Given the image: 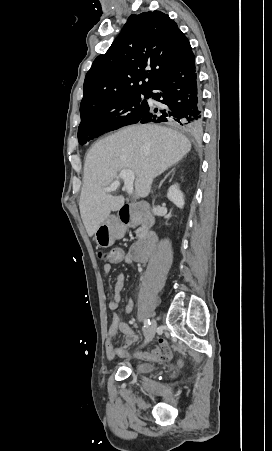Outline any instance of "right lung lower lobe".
<instances>
[{"label": "right lung lower lobe", "mask_w": 272, "mask_h": 451, "mask_svg": "<svg viewBox=\"0 0 272 451\" xmlns=\"http://www.w3.org/2000/svg\"><path fill=\"white\" fill-rule=\"evenodd\" d=\"M148 97L164 104L165 109L159 115L154 113L157 109L149 107V111L138 122H167L188 133L199 130L203 118L192 51L161 77Z\"/></svg>", "instance_id": "98d812e1"}]
</instances>
